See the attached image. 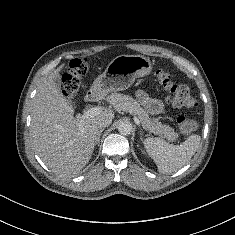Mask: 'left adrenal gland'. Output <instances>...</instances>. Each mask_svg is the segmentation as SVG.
<instances>
[{
    "label": "left adrenal gland",
    "instance_id": "obj_1",
    "mask_svg": "<svg viewBox=\"0 0 235 235\" xmlns=\"http://www.w3.org/2000/svg\"><path fill=\"white\" fill-rule=\"evenodd\" d=\"M142 135H143V130L140 129V136H141V139H142Z\"/></svg>",
    "mask_w": 235,
    "mask_h": 235
}]
</instances>
